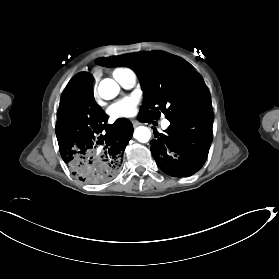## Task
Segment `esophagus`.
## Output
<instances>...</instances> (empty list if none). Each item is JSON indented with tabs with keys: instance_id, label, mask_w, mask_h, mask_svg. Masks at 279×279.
<instances>
[{
	"instance_id": "esophagus-1",
	"label": "esophagus",
	"mask_w": 279,
	"mask_h": 279,
	"mask_svg": "<svg viewBox=\"0 0 279 279\" xmlns=\"http://www.w3.org/2000/svg\"><path fill=\"white\" fill-rule=\"evenodd\" d=\"M131 122H132V124H133L134 126H137V125L140 124V123H139L138 121H136V120H132Z\"/></svg>"
}]
</instances>
